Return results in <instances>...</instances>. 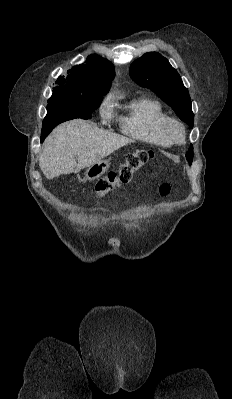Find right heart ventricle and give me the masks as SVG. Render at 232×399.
<instances>
[{"label": "right heart ventricle", "mask_w": 232, "mask_h": 399, "mask_svg": "<svg viewBox=\"0 0 232 399\" xmlns=\"http://www.w3.org/2000/svg\"><path fill=\"white\" fill-rule=\"evenodd\" d=\"M166 117V110L158 101L143 98L133 104L129 114L119 118V129L132 140L168 148L173 142L163 129Z\"/></svg>", "instance_id": "1"}]
</instances>
